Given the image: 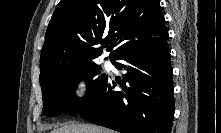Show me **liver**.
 <instances>
[{
  "mask_svg": "<svg viewBox=\"0 0 221 133\" xmlns=\"http://www.w3.org/2000/svg\"><path fill=\"white\" fill-rule=\"evenodd\" d=\"M50 133H112V132L108 129H104L93 125L67 123L59 128L53 129Z\"/></svg>",
  "mask_w": 221,
  "mask_h": 133,
  "instance_id": "6515ba94",
  "label": "liver"
}]
</instances>
